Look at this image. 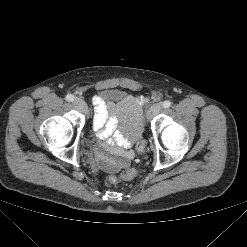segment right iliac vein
I'll return each instance as SVG.
<instances>
[{
  "mask_svg": "<svg viewBox=\"0 0 247 247\" xmlns=\"http://www.w3.org/2000/svg\"><path fill=\"white\" fill-rule=\"evenodd\" d=\"M73 105L75 106V108H77L79 111L86 113L87 112V105L84 102V100L80 99V98H76L73 100Z\"/></svg>",
  "mask_w": 247,
  "mask_h": 247,
  "instance_id": "63e3f726",
  "label": "right iliac vein"
}]
</instances>
